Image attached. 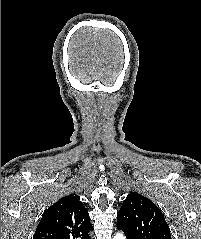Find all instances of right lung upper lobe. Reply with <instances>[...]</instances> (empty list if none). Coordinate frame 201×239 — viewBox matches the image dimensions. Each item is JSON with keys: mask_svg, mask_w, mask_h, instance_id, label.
<instances>
[{"mask_svg": "<svg viewBox=\"0 0 201 239\" xmlns=\"http://www.w3.org/2000/svg\"><path fill=\"white\" fill-rule=\"evenodd\" d=\"M92 229L80 196L70 194L43 213L33 239H91Z\"/></svg>", "mask_w": 201, "mask_h": 239, "instance_id": "cb5924a9", "label": "right lung upper lobe"}]
</instances>
